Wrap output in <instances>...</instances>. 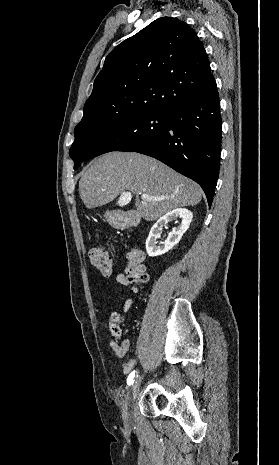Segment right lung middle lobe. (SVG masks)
<instances>
[{"instance_id": "obj_1", "label": "right lung middle lobe", "mask_w": 279, "mask_h": 465, "mask_svg": "<svg viewBox=\"0 0 279 465\" xmlns=\"http://www.w3.org/2000/svg\"><path fill=\"white\" fill-rule=\"evenodd\" d=\"M167 121L166 111H143L100 125L75 128V141L70 149L74 169L83 160L148 144L165 130Z\"/></svg>"}]
</instances>
